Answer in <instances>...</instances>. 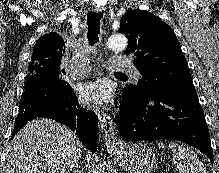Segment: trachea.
Wrapping results in <instances>:
<instances>
[{"label": "trachea", "instance_id": "3493384b", "mask_svg": "<svg viewBox=\"0 0 219 173\" xmlns=\"http://www.w3.org/2000/svg\"><path fill=\"white\" fill-rule=\"evenodd\" d=\"M103 17L102 12H88L87 14V25H88V32H87V39L89 45L92 47L99 41V34H100V23ZM118 75H125L124 73H115Z\"/></svg>", "mask_w": 219, "mask_h": 173}]
</instances>
